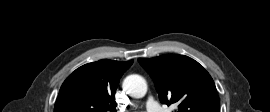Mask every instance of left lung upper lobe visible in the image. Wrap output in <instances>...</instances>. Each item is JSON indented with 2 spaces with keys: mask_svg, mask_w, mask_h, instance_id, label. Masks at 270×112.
Returning a JSON list of instances; mask_svg holds the SVG:
<instances>
[{
  "mask_svg": "<svg viewBox=\"0 0 270 112\" xmlns=\"http://www.w3.org/2000/svg\"><path fill=\"white\" fill-rule=\"evenodd\" d=\"M138 61L154 79L163 104H175L176 112H220L214 81L195 60L167 54Z\"/></svg>",
  "mask_w": 270,
  "mask_h": 112,
  "instance_id": "left-lung-upper-lobe-1",
  "label": "left lung upper lobe"
}]
</instances>
